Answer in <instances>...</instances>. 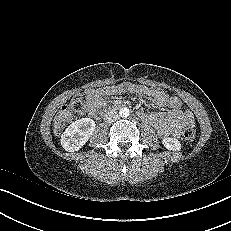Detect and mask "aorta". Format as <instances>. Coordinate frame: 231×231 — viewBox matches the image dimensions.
I'll return each instance as SVG.
<instances>
[{"mask_svg":"<svg viewBox=\"0 0 231 231\" xmlns=\"http://www.w3.org/2000/svg\"><path fill=\"white\" fill-rule=\"evenodd\" d=\"M129 114H130V111H129V109L127 107H123L119 111V115L122 118H127L129 116Z\"/></svg>","mask_w":231,"mask_h":231,"instance_id":"aorta-1","label":"aorta"}]
</instances>
